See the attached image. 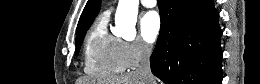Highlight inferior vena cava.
Masks as SVG:
<instances>
[{"label": "inferior vena cava", "instance_id": "obj_1", "mask_svg": "<svg viewBox=\"0 0 260 84\" xmlns=\"http://www.w3.org/2000/svg\"><path fill=\"white\" fill-rule=\"evenodd\" d=\"M134 73L143 79L146 84H156L150 69V50L146 48L141 49L140 63Z\"/></svg>", "mask_w": 260, "mask_h": 84}]
</instances>
